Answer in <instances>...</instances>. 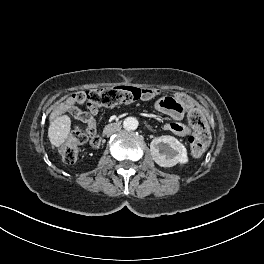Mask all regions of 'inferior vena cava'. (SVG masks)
I'll return each mask as SVG.
<instances>
[{
  "instance_id": "obj_1",
  "label": "inferior vena cava",
  "mask_w": 264,
  "mask_h": 264,
  "mask_svg": "<svg viewBox=\"0 0 264 264\" xmlns=\"http://www.w3.org/2000/svg\"><path fill=\"white\" fill-rule=\"evenodd\" d=\"M122 130H123V125H118V127L116 129L109 131V136H114V135L120 133Z\"/></svg>"
}]
</instances>
